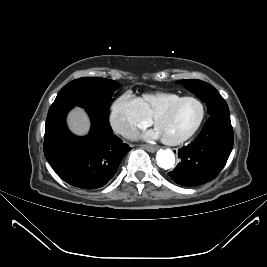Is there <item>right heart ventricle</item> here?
Masks as SVG:
<instances>
[{"label":"right heart ventricle","instance_id":"e07e8e85","mask_svg":"<svg viewBox=\"0 0 267 267\" xmlns=\"http://www.w3.org/2000/svg\"><path fill=\"white\" fill-rule=\"evenodd\" d=\"M181 97L183 96L174 92H154L145 93L138 100L144 113L151 119L156 112Z\"/></svg>","mask_w":267,"mask_h":267}]
</instances>
